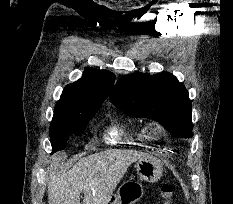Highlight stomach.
<instances>
[{
	"label": "stomach",
	"instance_id": "stomach-1",
	"mask_svg": "<svg viewBox=\"0 0 233 204\" xmlns=\"http://www.w3.org/2000/svg\"><path fill=\"white\" fill-rule=\"evenodd\" d=\"M135 168L139 177L144 181L154 183L162 177V164L155 157L147 155L138 159ZM141 195L142 189L137 182L126 181L119 186L107 204H134Z\"/></svg>",
	"mask_w": 233,
	"mask_h": 204
}]
</instances>
